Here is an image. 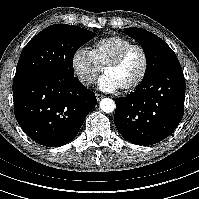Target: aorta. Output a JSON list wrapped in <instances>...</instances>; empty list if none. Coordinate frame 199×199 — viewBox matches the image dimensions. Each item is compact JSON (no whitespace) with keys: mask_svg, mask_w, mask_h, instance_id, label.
Instances as JSON below:
<instances>
[{"mask_svg":"<svg viewBox=\"0 0 199 199\" xmlns=\"http://www.w3.org/2000/svg\"><path fill=\"white\" fill-rule=\"evenodd\" d=\"M100 109L105 113H111L115 110V102L110 98H104L100 101Z\"/></svg>","mask_w":199,"mask_h":199,"instance_id":"1","label":"aorta"}]
</instances>
